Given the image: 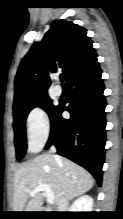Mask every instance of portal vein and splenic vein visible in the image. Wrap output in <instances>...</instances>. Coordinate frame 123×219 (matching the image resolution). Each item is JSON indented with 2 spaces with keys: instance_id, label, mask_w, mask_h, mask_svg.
I'll return each mask as SVG.
<instances>
[{
  "instance_id": "1",
  "label": "portal vein and splenic vein",
  "mask_w": 123,
  "mask_h": 219,
  "mask_svg": "<svg viewBox=\"0 0 123 219\" xmlns=\"http://www.w3.org/2000/svg\"><path fill=\"white\" fill-rule=\"evenodd\" d=\"M41 191L44 192L45 197L47 199V202L49 204H54V194H53L50 186L47 184H39L35 189H33L30 192V195L34 196L35 194H37L38 192H41Z\"/></svg>"
}]
</instances>
